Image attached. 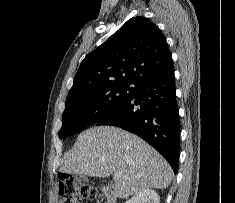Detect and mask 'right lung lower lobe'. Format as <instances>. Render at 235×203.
<instances>
[{
    "instance_id": "1",
    "label": "right lung lower lobe",
    "mask_w": 235,
    "mask_h": 203,
    "mask_svg": "<svg viewBox=\"0 0 235 203\" xmlns=\"http://www.w3.org/2000/svg\"><path fill=\"white\" fill-rule=\"evenodd\" d=\"M97 126H117L153 146L178 172L180 119L176 103L173 64L142 79L131 97Z\"/></svg>"
}]
</instances>
